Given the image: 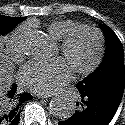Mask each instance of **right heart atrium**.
Here are the masks:
<instances>
[{"mask_svg":"<svg viewBox=\"0 0 125 125\" xmlns=\"http://www.w3.org/2000/svg\"><path fill=\"white\" fill-rule=\"evenodd\" d=\"M28 29L26 26L16 28L7 40V47L14 59H20L25 54Z\"/></svg>","mask_w":125,"mask_h":125,"instance_id":"obj_1","label":"right heart atrium"}]
</instances>
